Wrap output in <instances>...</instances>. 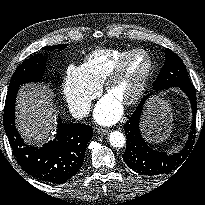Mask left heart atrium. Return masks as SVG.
<instances>
[{
	"label": "left heart atrium",
	"instance_id": "left-heart-atrium-1",
	"mask_svg": "<svg viewBox=\"0 0 205 205\" xmlns=\"http://www.w3.org/2000/svg\"><path fill=\"white\" fill-rule=\"evenodd\" d=\"M122 115L121 106L118 100L109 96L102 98L95 108V119L103 125H110L117 122Z\"/></svg>",
	"mask_w": 205,
	"mask_h": 205
}]
</instances>
